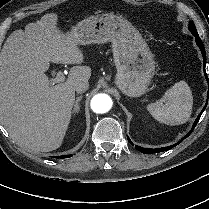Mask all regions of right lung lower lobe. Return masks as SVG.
<instances>
[{"label": "right lung lower lobe", "mask_w": 209, "mask_h": 209, "mask_svg": "<svg viewBox=\"0 0 209 209\" xmlns=\"http://www.w3.org/2000/svg\"><path fill=\"white\" fill-rule=\"evenodd\" d=\"M72 155H63V156H55L54 158H60V159H63V158H69L71 157Z\"/></svg>", "instance_id": "98d812e1"}]
</instances>
